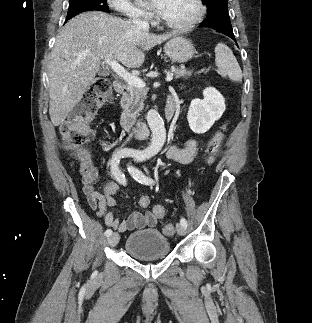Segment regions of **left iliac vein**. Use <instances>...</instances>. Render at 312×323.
I'll return each instance as SVG.
<instances>
[{
	"instance_id": "obj_1",
	"label": "left iliac vein",
	"mask_w": 312,
	"mask_h": 323,
	"mask_svg": "<svg viewBox=\"0 0 312 323\" xmlns=\"http://www.w3.org/2000/svg\"><path fill=\"white\" fill-rule=\"evenodd\" d=\"M176 227L179 235H185L186 228L181 223H178Z\"/></svg>"
}]
</instances>
